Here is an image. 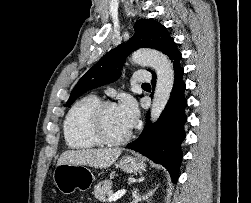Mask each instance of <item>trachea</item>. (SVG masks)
<instances>
[{"mask_svg":"<svg viewBox=\"0 0 251 203\" xmlns=\"http://www.w3.org/2000/svg\"><path fill=\"white\" fill-rule=\"evenodd\" d=\"M143 86H149L150 84L149 83H144L142 84Z\"/></svg>","mask_w":251,"mask_h":203,"instance_id":"3493384b","label":"trachea"}]
</instances>
